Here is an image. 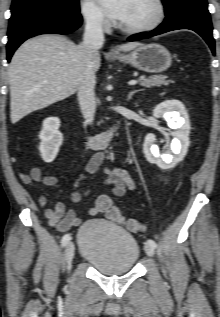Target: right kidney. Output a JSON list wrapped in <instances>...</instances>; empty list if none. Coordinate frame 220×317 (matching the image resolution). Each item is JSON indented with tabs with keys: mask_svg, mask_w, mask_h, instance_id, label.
I'll use <instances>...</instances> for the list:
<instances>
[{
	"mask_svg": "<svg viewBox=\"0 0 220 317\" xmlns=\"http://www.w3.org/2000/svg\"><path fill=\"white\" fill-rule=\"evenodd\" d=\"M59 127L60 120L56 117H49L43 121V127L39 134L41 140L39 150L46 163L54 161L63 142V134L59 131Z\"/></svg>",
	"mask_w": 220,
	"mask_h": 317,
	"instance_id": "obj_1",
	"label": "right kidney"
}]
</instances>
